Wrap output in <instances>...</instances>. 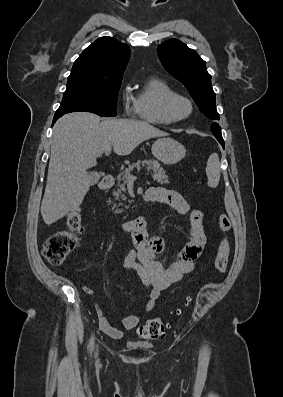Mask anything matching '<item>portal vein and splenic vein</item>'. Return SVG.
<instances>
[{
	"instance_id": "portal-vein-and-splenic-vein-1",
	"label": "portal vein and splenic vein",
	"mask_w": 283,
	"mask_h": 397,
	"mask_svg": "<svg viewBox=\"0 0 283 397\" xmlns=\"http://www.w3.org/2000/svg\"><path fill=\"white\" fill-rule=\"evenodd\" d=\"M110 152H111V149L110 148H107L106 150H105V155L106 156H109V154H110ZM135 179V176H133V175H131V174H128V180H134Z\"/></svg>"
}]
</instances>
